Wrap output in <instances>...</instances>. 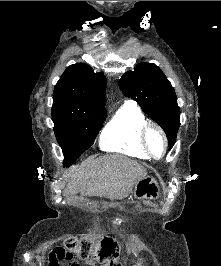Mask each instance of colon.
<instances>
[{"mask_svg": "<svg viewBox=\"0 0 221 266\" xmlns=\"http://www.w3.org/2000/svg\"><path fill=\"white\" fill-rule=\"evenodd\" d=\"M65 246L67 251H53V252H75V256L81 260H97L101 262L102 266H122L118 261L119 246L117 242L111 237H103L98 241H93L88 238L77 239L69 238ZM72 260L73 257H67ZM137 266H142L141 262Z\"/></svg>", "mask_w": 221, "mask_h": 266, "instance_id": "5ec220e1", "label": "colon"}]
</instances>
